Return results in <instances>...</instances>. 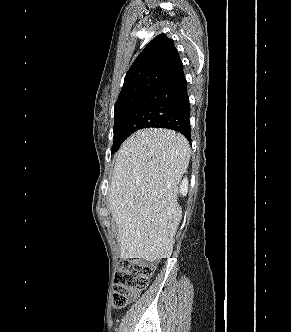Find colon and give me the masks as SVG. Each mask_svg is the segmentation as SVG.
<instances>
[{"label":"colon","mask_w":291,"mask_h":332,"mask_svg":"<svg viewBox=\"0 0 291 332\" xmlns=\"http://www.w3.org/2000/svg\"><path fill=\"white\" fill-rule=\"evenodd\" d=\"M153 267L136 259L121 261L119 271L115 275L113 305L125 307L148 285Z\"/></svg>","instance_id":"colon-1"}]
</instances>
